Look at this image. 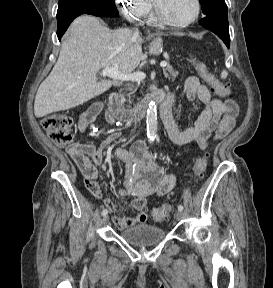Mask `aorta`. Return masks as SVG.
<instances>
[{"label": "aorta", "instance_id": "obj_1", "mask_svg": "<svg viewBox=\"0 0 273 288\" xmlns=\"http://www.w3.org/2000/svg\"><path fill=\"white\" fill-rule=\"evenodd\" d=\"M146 128L148 142L152 144L156 137L157 132V107L155 102L150 101L147 108L146 115Z\"/></svg>", "mask_w": 273, "mask_h": 288}]
</instances>
